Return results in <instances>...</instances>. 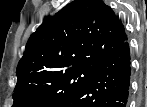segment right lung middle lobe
<instances>
[{"label":"right lung middle lobe","instance_id":"right-lung-middle-lobe-1","mask_svg":"<svg viewBox=\"0 0 147 107\" xmlns=\"http://www.w3.org/2000/svg\"><path fill=\"white\" fill-rule=\"evenodd\" d=\"M96 68L75 65L17 75L12 107H58L88 81Z\"/></svg>","mask_w":147,"mask_h":107}]
</instances>
